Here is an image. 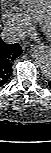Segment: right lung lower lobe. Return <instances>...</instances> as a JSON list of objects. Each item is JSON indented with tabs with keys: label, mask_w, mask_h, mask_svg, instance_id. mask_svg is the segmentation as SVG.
I'll return each instance as SVG.
<instances>
[{
	"label": "right lung lower lobe",
	"mask_w": 51,
	"mask_h": 153,
	"mask_svg": "<svg viewBox=\"0 0 51 153\" xmlns=\"http://www.w3.org/2000/svg\"><path fill=\"white\" fill-rule=\"evenodd\" d=\"M22 53L18 43L6 44L0 39V87L12 74V62Z\"/></svg>",
	"instance_id": "obj_1"
}]
</instances>
